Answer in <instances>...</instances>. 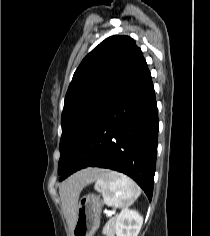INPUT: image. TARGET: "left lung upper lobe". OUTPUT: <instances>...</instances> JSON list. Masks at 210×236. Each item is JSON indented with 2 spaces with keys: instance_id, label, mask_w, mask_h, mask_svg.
I'll list each match as a JSON object with an SVG mask.
<instances>
[{
  "instance_id": "left-lung-upper-lobe-1",
  "label": "left lung upper lobe",
  "mask_w": 210,
  "mask_h": 236,
  "mask_svg": "<svg viewBox=\"0 0 210 236\" xmlns=\"http://www.w3.org/2000/svg\"><path fill=\"white\" fill-rule=\"evenodd\" d=\"M146 67L142 51L127 36L105 39L83 59L65 96L59 174L96 118Z\"/></svg>"
}]
</instances>
